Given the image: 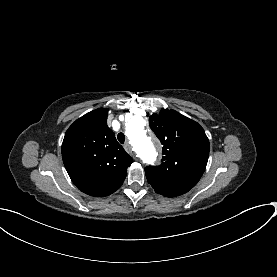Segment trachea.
I'll list each match as a JSON object with an SVG mask.
<instances>
[{
	"instance_id": "3493384b",
	"label": "trachea",
	"mask_w": 277,
	"mask_h": 277,
	"mask_svg": "<svg viewBox=\"0 0 277 277\" xmlns=\"http://www.w3.org/2000/svg\"><path fill=\"white\" fill-rule=\"evenodd\" d=\"M117 139H118V141H119L121 144H124V142H125V135H124L122 132H120V133L117 135Z\"/></svg>"
}]
</instances>
